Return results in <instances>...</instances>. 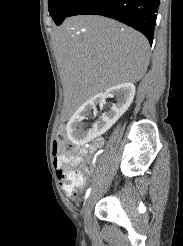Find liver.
<instances>
[{
    "label": "liver",
    "instance_id": "6515ba94",
    "mask_svg": "<svg viewBox=\"0 0 183 246\" xmlns=\"http://www.w3.org/2000/svg\"><path fill=\"white\" fill-rule=\"evenodd\" d=\"M53 45L71 110L110 87L138 82L149 64V43L141 33L98 15L66 19L55 29Z\"/></svg>",
    "mask_w": 183,
    "mask_h": 246
}]
</instances>
